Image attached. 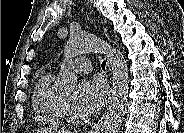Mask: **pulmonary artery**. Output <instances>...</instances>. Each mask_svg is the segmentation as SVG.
Returning <instances> with one entry per match:
<instances>
[{"label": "pulmonary artery", "mask_w": 184, "mask_h": 133, "mask_svg": "<svg viewBox=\"0 0 184 133\" xmlns=\"http://www.w3.org/2000/svg\"><path fill=\"white\" fill-rule=\"evenodd\" d=\"M71 68L80 74L88 73L91 71V63L85 58H77L71 63Z\"/></svg>", "instance_id": "pulmonary-artery-1"}]
</instances>
